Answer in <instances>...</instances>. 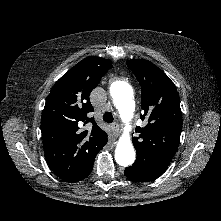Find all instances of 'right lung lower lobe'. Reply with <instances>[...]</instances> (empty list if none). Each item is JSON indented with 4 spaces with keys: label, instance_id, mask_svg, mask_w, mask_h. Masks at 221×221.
I'll return each instance as SVG.
<instances>
[{
    "label": "right lung lower lobe",
    "instance_id": "1",
    "mask_svg": "<svg viewBox=\"0 0 221 221\" xmlns=\"http://www.w3.org/2000/svg\"><path fill=\"white\" fill-rule=\"evenodd\" d=\"M93 164H94V161H93V162L91 163V165L88 167V170L86 171V173H85L83 179L86 178V177L91 173L92 168H93Z\"/></svg>",
    "mask_w": 221,
    "mask_h": 221
}]
</instances>
